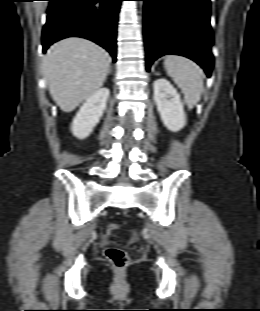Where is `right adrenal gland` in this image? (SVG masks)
I'll return each instance as SVG.
<instances>
[{"label":"right adrenal gland","mask_w":260,"mask_h":311,"mask_svg":"<svg viewBox=\"0 0 260 311\" xmlns=\"http://www.w3.org/2000/svg\"><path fill=\"white\" fill-rule=\"evenodd\" d=\"M111 71H112V69H111V67H109L108 73H111Z\"/></svg>","instance_id":"obj_1"}]
</instances>
